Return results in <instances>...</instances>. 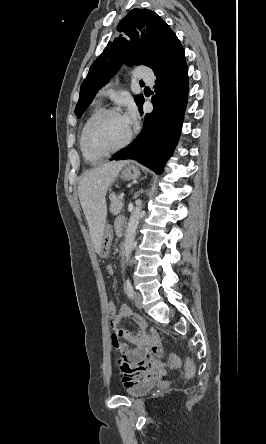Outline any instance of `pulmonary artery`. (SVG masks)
<instances>
[{"label":"pulmonary artery","mask_w":266,"mask_h":444,"mask_svg":"<svg viewBox=\"0 0 266 444\" xmlns=\"http://www.w3.org/2000/svg\"><path fill=\"white\" fill-rule=\"evenodd\" d=\"M133 76L135 78L138 79H142V80H146L148 82H152L153 81V76L152 73L150 72L149 68L147 66H138L134 69L133 71ZM111 85H107L106 87H104L103 89H101L99 91V96H104L105 94L108 93V91L110 90Z\"/></svg>","instance_id":"pulmonary-artery-1"}]
</instances>
